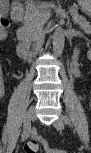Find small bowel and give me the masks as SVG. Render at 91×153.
Instances as JSON below:
<instances>
[{
    "label": "small bowel",
    "mask_w": 91,
    "mask_h": 153,
    "mask_svg": "<svg viewBox=\"0 0 91 153\" xmlns=\"http://www.w3.org/2000/svg\"><path fill=\"white\" fill-rule=\"evenodd\" d=\"M6 35H7L6 30H5L4 28H1V29H0V37H1V38H5ZM36 139H43V138L40 137V136H36Z\"/></svg>",
    "instance_id": "small-bowel-1"
}]
</instances>
